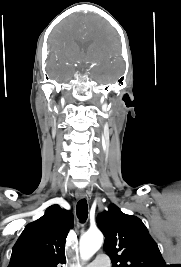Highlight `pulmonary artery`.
<instances>
[{
    "instance_id": "1",
    "label": "pulmonary artery",
    "mask_w": 181,
    "mask_h": 267,
    "mask_svg": "<svg viewBox=\"0 0 181 267\" xmlns=\"http://www.w3.org/2000/svg\"><path fill=\"white\" fill-rule=\"evenodd\" d=\"M108 260L105 256H99L94 261L89 263L86 267H107Z\"/></svg>"
}]
</instances>
